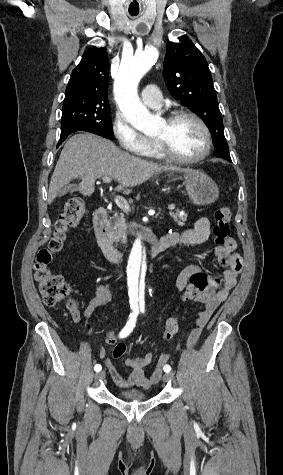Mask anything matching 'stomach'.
Returning a JSON list of instances; mask_svg holds the SVG:
<instances>
[{"label":"stomach","instance_id":"obj_1","mask_svg":"<svg viewBox=\"0 0 283 475\" xmlns=\"http://www.w3.org/2000/svg\"><path fill=\"white\" fill-rule=\"evenodd\" d=\"M169 178L174 180H183L186 186V192L195 206H208L213 204L219 196V188H217L212 178H209L205 172L201 170H191V172H183L181 176L168 174Z\"/></svg>","mask_w":283,"mask_h":475}]
</instances>
